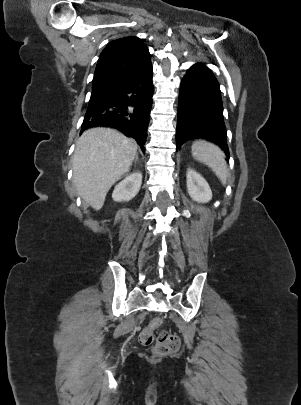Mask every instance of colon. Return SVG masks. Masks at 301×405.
<instances>
[{"label":"colon","mask_w":301,"mask_h":405,"mask_svg":"<svg viewBox=\"0 0 301 405\" xmlns=\"http://www.w3.org/2000/svg\"><path fill=\"white\" fill-rule=\"evenodd\" d=\"M160 318L153 319L150 324L145 327L139 334V343L143 346L153 344V353L158 356H166L176 352L180 347V339L177 335L162 331L157 337L155 336L156 329L161 325Z\"/></svg>","instance_id":"1"}]
</instances>
